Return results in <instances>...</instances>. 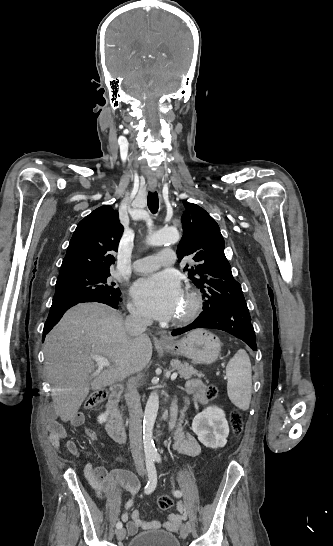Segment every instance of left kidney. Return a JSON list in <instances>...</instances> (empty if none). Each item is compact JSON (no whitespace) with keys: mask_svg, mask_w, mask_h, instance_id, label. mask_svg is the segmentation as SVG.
<instances>
[{"mask_svg":"<svg viewBox=\"0 0 333 546\" xmlns=\"http://www.w3.org/2000/svg\"><path fill=\"white\" fill-rule=\"evenodd\" d=\"M193 431L206 447L217 449L224 447L229 435V426L222 409L208 406L195 416L192 423Z\"/></svg>","mask_w":333,"mask_h":546,"instance_id":"5707ae66","label":"left kidney"}]
</instances>
